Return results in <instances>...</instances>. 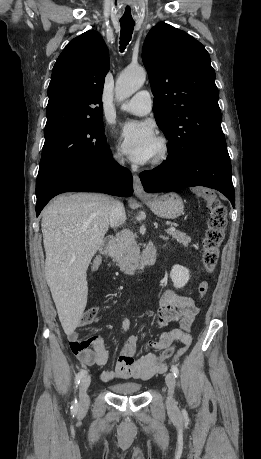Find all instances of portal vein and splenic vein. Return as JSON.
I'll list each match as a JSON object with an SVG mask.
<instances>
[{
	"mask_svg": "<svg viewBox=\"0 0 261 459\" xmlns=\"http://www.w3.org/2000/svg\"><path fill=\"white\" fill-rule=\"evenodd\" d=\"M169 230H172V231H174V230H175V228H174L173 226H171V227L169 228Z\"/></svg>",
	"mask_w": 261,
	"mask_h": 459,
	"instance_id": "1",
	"label": "portal vein and splenic vein"
}]
</instances>
